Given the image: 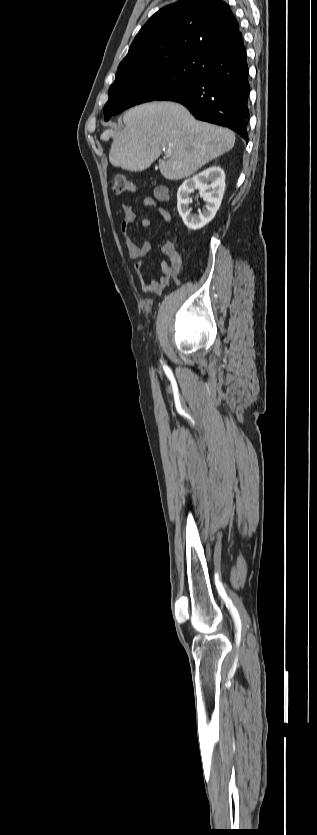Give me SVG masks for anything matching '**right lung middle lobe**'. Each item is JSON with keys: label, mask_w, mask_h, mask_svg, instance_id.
<instances>
[{"label": "right lung middle lobe", "mask_w": 317, "mask_h": 835, "mask_svg": "<svg viewBox=\"0 0 317 835\" xmlns=\"http://www.w3.org/2000/svg\"><path fill=\"white\" fill-rule=\"evenodd\" d=\"M201 77L200 60L196 57L160 64L116 76L104 107L105 120L123 110L148 101Z\"/></svg>", "instance_id": "right-lung-middle-lobe-1"}]
</instances>
